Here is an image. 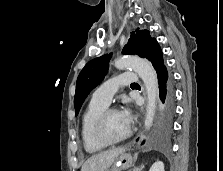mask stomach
<instances>
[{
  "label": "stomach",
  "instance_id": "stomach-1",
  "mask_svg": "<svg viewBox=\"0 0 223 171\" xmlns=\"http://www.w3.org/2000/svg\"><path fill=\"white\" fill-rule=\"evenodd\" d=\"M132 164V157L126 152H122L115 160L112 167L106 171H122L129 168Z\"/></svg>",
  "mask_w": 223,
  "mask_h": 171
}]
</instances>
